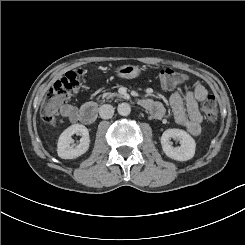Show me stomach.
Returning a JSON list of instances; mask_svg holds the SVG:
<instances>
[{"label":"stomach","instance_id":"1","mask_svg":"<svg viewBox=\"0 0 245 245\" xmlns=\"http://www.w3.org/2000/svg\"><path fill=\"white\" fill-rule=\"evenodd\" d=\"M141 70L142 68L138 65H123L116 72L121 78L133 79L139 76Z\"/></svg>","mask_w":245,"mask_h":245}]
</instances>
